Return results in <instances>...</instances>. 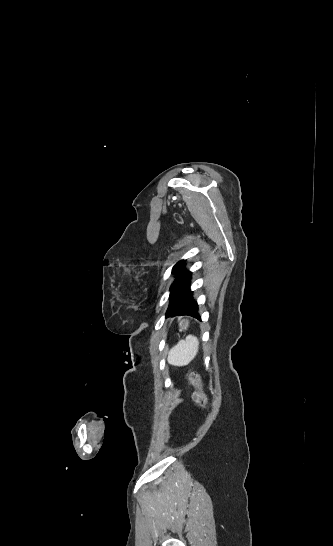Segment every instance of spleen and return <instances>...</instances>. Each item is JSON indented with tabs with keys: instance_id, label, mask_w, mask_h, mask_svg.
I'll list each match as a JSON object with an SVG mask.
<instances>
[{
	"instance_id": "spleen-1",
	"label": "spleen",
	"mask_w": 333,
	"mask_h": 546,
	"mask_svg": "<svg viewBox=\"0 0 333 546\" xmlns=\"http://www.w3.org/2000/svg\"><path fill=\"white\" fill-rule=\"evenodd\" d=\"M182 331L188 326L186 321L184 324L180 323ZM199 341L197 337L189 335L185 340H181L174 348L171 349L168 355V362L173 366H185L188 365L198 353Z\"/></svg>"
}]
</instances>
